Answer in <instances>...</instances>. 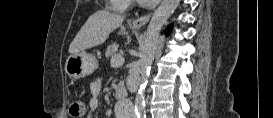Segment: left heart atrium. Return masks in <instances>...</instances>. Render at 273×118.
Segmentation results:
<instances>
[{
  "label": "left heart atrium",
  "mask_w": 273,
  "mask_h": 118,
  "mask_svg": "<svg viewBox=\"0 0 273 118\" xmlns=\"http://www.w3.org/2000/svg\"><path fill=\"white\" fill-rule=\"evenodd\" d=\"M156 2H158V0H140V3L148 4V5L154 4Z\"/></svg>",
  "instance_id": "1"
}]
</instances>
